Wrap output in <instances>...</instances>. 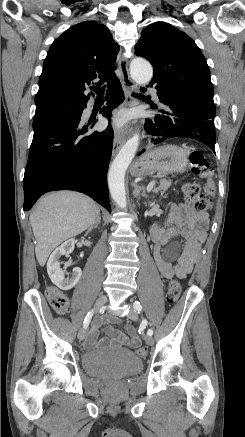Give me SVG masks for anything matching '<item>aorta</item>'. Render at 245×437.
Returning a JSON list of instances; mask_svg holds the SVG:
<instances>
[{
    "mask_svg": "<svg viewBox=\"0 0 245 437\" xmlns=\"http://www.w3.org/2000/svg\"><path fill=\"white\" fill-rule=\"evenodd\" d=\"M130 75L136 83L145 85L152 79L153 69L147 60L135 58L130 64ZM138 145L139 134H134L129 140H127L117 154L108 173V185L111 197L115 204L121 209H125L127 206L124 186L125 173L135 156Z\"/></svg>",
    "mask_w": 245,
    "mask_h": 437,
    "instance_id": "762f6f07",
    "label": "aorta"
}]
</instances>
